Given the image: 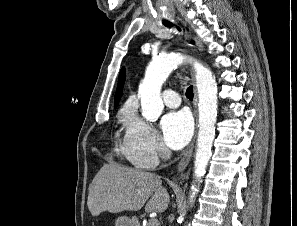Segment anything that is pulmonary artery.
Listing matches in <instances>:
<instances>
[{
  "instance_id": "e3ab8cb5",
  "label": "pulmonary artery",
  "mask_w": 297,
  "mask_h": 226,
  "mask_svg": "<svg viewBox=\"0 0 297 226\" xmlns=\"http://www.w3.org/2000/svg\"><path fill=\"white\" fill-rule=\"evenodd\" d=\"M162 97L165 105L171 108L178 107L181 103L178 93L172 89L165 90Z\"/></svg>"
}]
</instances>
